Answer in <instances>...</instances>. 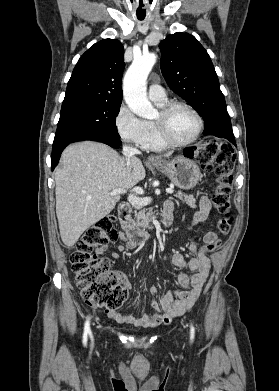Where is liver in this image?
Returning <instances> with one entry per match:
<instances>
[{
	"mask_svg": "<svg viewBox=\"0 0 279 391\" xmlns=\"http://www.w3.org/2000/svg\"><path fill=\"white\" fill-rule=\"evenodd\" d=\"M171 153L164 156L169 157ZM55 170L56 215L63 243L72 247L82 233L107 216L125 191L146 176L138 158H122L109 146L84 141L69 145Z\"/></svg>",
	"mask_w": 279,
	"mask_h": 391,
	"instance_id": "1",
	"label": "liver"
}]
</instances>
